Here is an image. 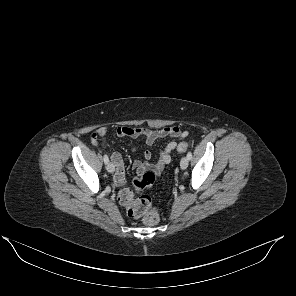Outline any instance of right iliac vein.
<instances>
[{
  "label": "right iliac vein",
  "instance_id": "obj_1",
  "mask_svg": "<svg viewBox=\"0 0 296 296\" xmlns=\"http://www.w3.org/2000/svg\"><path fill=\"white\" fill-rule=\"evenodd\" d=\"M108 172L113 173L115 171V166L112 162H109L106 166Z\"/></svg>",
  "mask_w": 296,
  "mask_h": 296
}]
</instances>
